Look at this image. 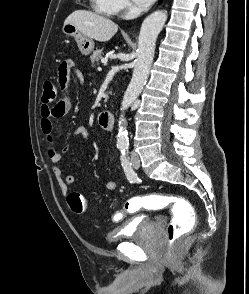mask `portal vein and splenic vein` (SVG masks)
Masks as SVG:
<instances>
[{
    "label": "portal vein and splenic vein",
    "mask_w": 249,
    "mask_h": 294,
    "mask_svg": "<svg viewBox=\"0 0 249 294\" xmlns=\"http://www.w3.org/2000/svg\"><path fill=\"white\" fill-rule=\"evenodd\" d=\"M101 62H102L103 64H107L108 60H107V59H102Z\"/></svg>",
    "instance_id": "obj_1"
}]
</instances>
